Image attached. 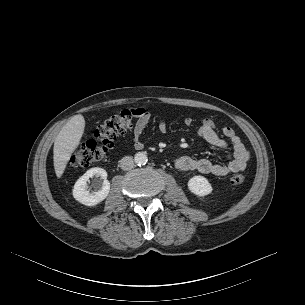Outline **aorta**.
<instances>
[{"label": "aorta", "instance_id": "aorta-1", "mask_svg": "<svg viewBox=\"0 0 305 305\" xmlns=\"http://www.w3.org/2000/svg\"><path fill=\"white\" fill-rule=\"evenodd\" d=\"M134 161L138 166H143L148 162V157L145 152H138L134 156Z\"/></svg>", "mask_w": 305, "mask_h": 305}]
</instances>
